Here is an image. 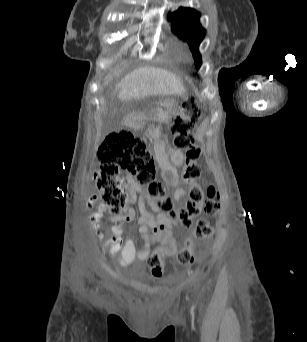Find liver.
I'll use <instances>...</instances> for the list:
<instances>
[{
    "label": "liver",
    "instance_id": "6515ba94",
    "mask_svg": "<svg viewBox=\"0 0 307 342\" xmlns=\"http://www.w3.org/2000/svg\"><path fill=\"white\" fill-rule=\"evenodd\" d=\"M120 88L118 94L119 100L128 102V100H140L147 96H184L186 88L180 78L164 68H152V66H143L137 68L121 82L117 84Z\"/></svg>",
    "mask_w": 307,
    "mask_h": 342
}]
</instances>
